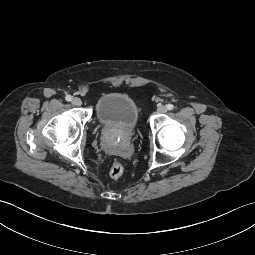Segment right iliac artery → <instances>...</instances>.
<instances>
[{"mask_svg":"<svg viewBox=\"0 0 255 255\" xmlns=\"http://www.w3.org/2000/svg\"><path fill=\"white\" fill-rule=\"evenodd\" d=\"M65 99H66V101H71V100H72V96L67 95V96L65 97Z\"/></svg>","mask_w":255,"mask_h":255,"instance_id":"right-iliac-artery-1","label":"right iliac artery"}]
</instances>
